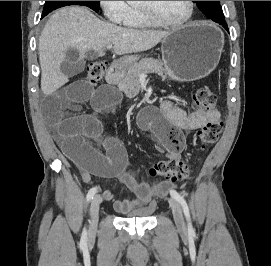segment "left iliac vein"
Here are the masks:
<instances>
[{
  "mask_svg": "<svg viewBox=\"0 0 271 266\" xmlns=\"http://www.w3.org/2000/svg\"><path fill=\"white\" fill-rule=\"evenodd\" d=\"M169 205L171 207L175 224L179 231H186V225L183 218L182 208L180 204L173 198L168 199Z\"/></svg>",
  "mask_w": 271,
  "mask_h": 266,
  "instance_id": "obj_1",
  "label": "left iliac vein"
}]
</instances>
